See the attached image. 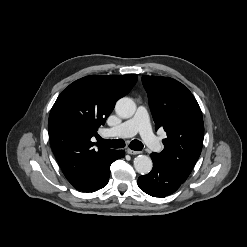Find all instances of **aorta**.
<instances>
[{
    "label": "aorta",
    "mask_w": 247,
    "mask_h": 247,
    "mask_svg": "<svg viewBox=\"0 0 247 247\" xmlns=\"http://www.w3.org/2000/svg\"><path fill=\"white\" fill-rule=\"evenodd\" d=\"M115 111L122 118H130L136 111V104L131 98L123 97L116 102ZM152 167V160L146 155H138L134 159V168L139 174H148Z\"/></svg>",
    "instance_id": "obj_1"
}]
</instances>
